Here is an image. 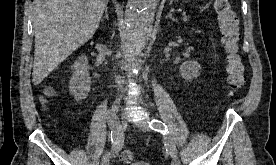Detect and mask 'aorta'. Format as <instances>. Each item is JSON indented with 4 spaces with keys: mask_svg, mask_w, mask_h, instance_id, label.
Returning a JSON list of instances; mask_svg holds the SVG:
<instances>
[{
    "mask_svg": "<svg viewBox=\"0 0 276 165\" xmlns=\"http://www.w3.org/2000/svg\"><path fill=\"white\" fill-rule=\"evenodd\" d=\"M159 0H128L125 16L126 41L123 49L126 64L135 67L132 59L145 47L153 30Z\"/></svg>",
    "mask_w": 276,
    "mask_h": 165,
    "instance_id": "762f6f07",
    "label": "aorta"
}]
</instances>
